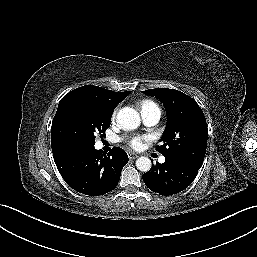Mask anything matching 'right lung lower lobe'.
<instances>
[{
  "label": "right lung lower lobe",
  "instance_id": "1",
  "mask_svg": "<svg viewBox=\"0 0 257 257\" xmlns=\"http://www.w3.org/2000/svg\"><path fill=\"white\" fill-rule=\"evenodd\" d=\"M55 164L64 181L77 192L103 195L118 184L126 152L114 147L107 155L94 146L75 145L53 150Z\"/></svg>",
  "mask_w": 257,
  "mask_h": 257
}]
</instances>
